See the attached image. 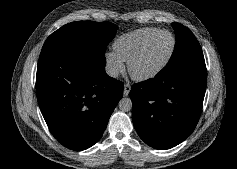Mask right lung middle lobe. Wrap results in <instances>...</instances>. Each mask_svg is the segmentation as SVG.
Returning <instances> with one entry per match:
<instances>
[{
  "instance_id": "obj_1",
  "label": "right lung middle lobe",
  "mask_w": 237,
  "mask_h": 169,
  "mask_svg": "<svg viewBox=\"0 0 237 169\" xmlns=\"http://www.w3.org/2000/svg\"><path fill=\"white\" fill-rule=\"evenodd\" d=\"M117 26L109 22L78 21L62 26L45 41L43 52H90L104 55Z\"/></svg>"
}]
</instances>
